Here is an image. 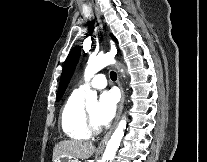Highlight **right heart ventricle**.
Returning <instances> with one entry per match:
<instances>
[{"label":"right heart ventricle","mask_w":207,"mask_h":162,"mask_svg":"<svg viewBox=\"0 0 207 162\" xmlns=\"http://www.w3.org/2000/svg\"><path fill=\"white\" fill-rule=\"evenodd\" d=\"M83 92L74 90L66 100L60 115V126L68 137L75 140H88L91 137L86 127Z\"/></svg>","instance_id":"e07e8e85"}]
</instances>
